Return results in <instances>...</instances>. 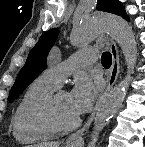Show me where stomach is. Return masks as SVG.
<instances>
[{"label": "stomach", "instance_id": "1", "mask_svg": "<svg viewBox=\"0 0 145 147\" xmlns=\"http://www.w3.org/2000/svg\"><path fill=\"white\" fill-rule=\"evenodd\" d=\"M66 147H78L77 144H68Z\"/></svg>", "mask_w": 145, "mask_h": 147}]
</instances>
